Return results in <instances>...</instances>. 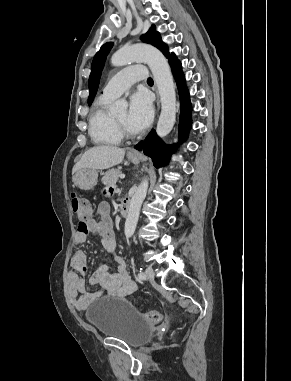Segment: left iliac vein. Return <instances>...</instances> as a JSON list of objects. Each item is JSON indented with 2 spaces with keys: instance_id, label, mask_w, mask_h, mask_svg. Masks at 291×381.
Wrapping results in <instances>:
<instances>
[{
  "instance_id": "obj_1",
  "label": "left iliac vein",
  "mask_w": 291,
  "mask_h": 381,
  "mask_svg": "<svg viewBox=\"0 0 291 381\" xmlns=\"http://www.w3.org/2000/svg\"><path fill=\"white\" fill-rule=\"evenodd\" d=\"M145 275H146V278L149 281H153L154 280L155 274H154V270L151 267L146 268Z\"/></svg>"
}]
</instances>
